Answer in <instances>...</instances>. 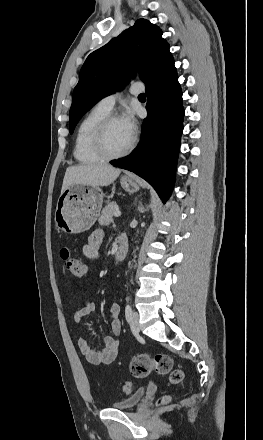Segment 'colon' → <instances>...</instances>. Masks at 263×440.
<instances>
[{
    "mask_svg": "<svg viewBox=\"0 0 263 440\" xmlns=\"http://www.w3.org/2000/svg\"><path fill=\"white\" fill-rule=\"evenodd\" d=\"M59 254L66 271L76 277H84L86 275L87 268L85 264L75 257L69 248L62 247ZM130 371L136 378H144L152 371L163 375L168 374L170 381L175 384L183 379V372L178 368H174L171 357L164 353H158L152 357L145 354L135 356L130 363ZM131 390L132 383L130 381L124 382L122 391L128 394ZM169 401V397H162L159 400V404L164 405Z\"/></svg>",
    "mask_w": 263,
    "mask_h": 440,
    "instance_id": "5ec220e1",
    "label": "colon"
}]
</instances>
